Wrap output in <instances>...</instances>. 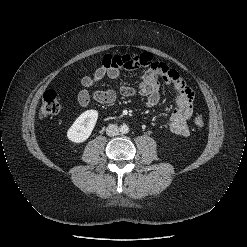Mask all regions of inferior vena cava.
Instances as JSON below:
<instances>
[{"instance_id":"602c4592","label":"inferior vena cava","mask_w":247,"mask_h":247,"mask_svg":"<svg viewBox=\"0 0 247 247\" xmlns=\"http://www.w3.org/2000/svg\"><path fill=\"white\" fill-rule=\"evenodd\" d=\"M119 133V127L115 124H110L108 125L107 129H106V134L108 136H116Z\"/></svg>"}]
</instances>
